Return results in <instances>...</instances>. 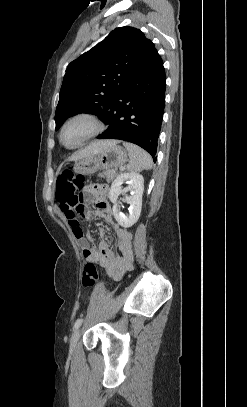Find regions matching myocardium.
<instances>
[{
	"label": "myocardium",
	"mask_w": 247,
	"mask_h": 407,
	"mask_svg": "<svg viewBox=\"0 0 247 407\" xmlns=\"http://www.w3.org/2000/svg\"><path fill=\"white\" fill-rule=\"evenodd\" d=\"M79 119H85V120L89 121L92 125V130L77 144L71 145V146L66 145L63 142L64 130L70 123H72L75 120H79ZM103 130H104V123L95 113H93L91 111H79V112H76V113L72 114L71 116H69L63 122V124L61 125L60 130H59L58 138H59L60 144L65 149L74 150V149H78V148L84 146L87 142H89L93 138L97 137Z\"/></svg>",
	"instance_id": "myocardium-1"
}]
</instances>
